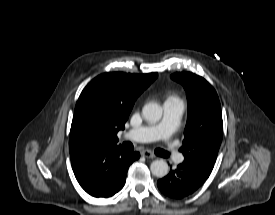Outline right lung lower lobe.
<instances>
[{
    "label": "right lung lower lobe",
    "instance_id": "right-lung-lower-lobe-1",
    "mask_svg": "<svg viewBox=\"0 0 275 215\" xmlns=\"http://www.w3.org/2000/svg\"><path fill=\"white\" fill-rule=\"evenodd\" d=\"M140 157L121 145H96L71 159L81 187L94 197H110L125 184L129 166Z\"/></svg>",
    "mask_w": 275,
    "mask_h": 215
}]
</instances>
